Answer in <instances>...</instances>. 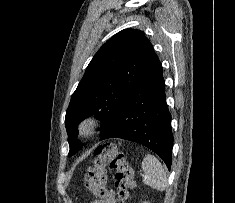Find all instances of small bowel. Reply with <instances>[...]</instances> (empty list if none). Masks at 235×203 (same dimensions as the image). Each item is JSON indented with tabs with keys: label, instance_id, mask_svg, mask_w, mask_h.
<instances>
[{
	"label": "small bowel",
	"instance_id": "1",
	"mask_svg": "<svg viewBox=\"0 0 235 203\" xmlns=\"http://www.w3.org/2000/svg\"><path fill=\"white\" fill-rule=\"evenodd\" d=\"M92 203H115V192L109 190L102 198L95 200Z\"/></svg>",
	"mask_w": 235,
	"mask_h": 203
}]
</instances>
